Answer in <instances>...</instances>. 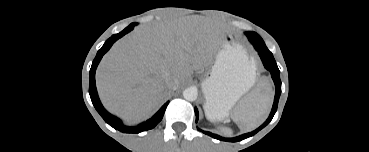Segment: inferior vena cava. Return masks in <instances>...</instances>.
Returning <instances> with one entry per match:
<instances>
[{
  "label": "inferior vena cava",
  "mask_w": 369,
  "mask_h": 152,
  "mask_svg": "<svg viewBox=\"0 0 369 152\" xmlns=\"http://www.w3.org/2000/svg\"><path fill=\"white\" fill-rule=\"evenodd\" d=\"M167 85L170 89H175L176 88L175 82L172 79L167 80Z\"/></svg>",
  "instance_id": "602c4592"
}]
</instances>
